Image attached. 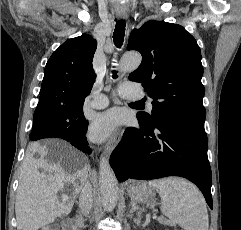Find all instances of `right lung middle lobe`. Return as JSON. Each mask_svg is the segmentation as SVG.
Here are the masks:
<instances>
[{
  "instance_id": "right-lung-middle-lobe-1",
  "label": "right lung middle lobe",
  "mask_w": 241,
  "mask_h": 230,
  "mask_svg": "<svg viewBox=\"0 0 241 230\" xmlns=\"http://www.w3.org/2000/svg\"><path fill=\"white\" fill-rule=\"evenodd\" d=\"M33 124L38 125L39 130L31 132L30 139L36 141L43 138H52L54 133L81 134L87 127L88 121L84 117L82 106H79L57 108L39 115L34 114Z\"/></svg>"
}]
</instances>
